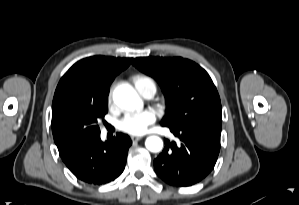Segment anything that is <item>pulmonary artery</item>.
I'll list each match as a JSON object with an SVG mask.
<instances>
[{
	"label": "pulmonary artery",
	"mask_w": 299,
	"mask_h": 205,
	"mask_svg": "<svg viewBox=\"0 0 299 205\" xmlns=\"http://www.w3.org/2000/svg\"><path fill=\"white\" fill-rule=\"evenodd\" d=\"M140 93L145 98H148V99L152 98L155 95V93H156V86H155V84L153 82L146 83L143 86V88H142V90H141Z\"/></svg>",
	"instance_id": "1"
}]
</instances>
